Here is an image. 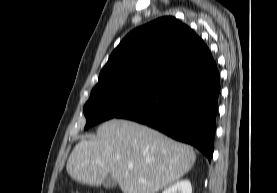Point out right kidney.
<instances>
[{
    "mask_svg": "<svg viewBox=\"0 0 277 193\" xmlns=\"http://www.w3.org/2000/svg\"><path fill=\"white\" fill-rule=\"evenodd\" d=\"M162 193H192L191 183L187 179L178 181Z\"/></svg>",
    "mask_w": 277,
    "mask_h": 193,
    "instance_id": "right-kidney-1",
    "label": "right kidney"
}]
</instances>
